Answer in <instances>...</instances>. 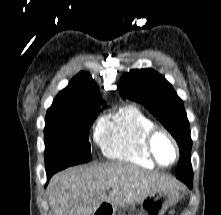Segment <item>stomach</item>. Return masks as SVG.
<instances>
[{"mask_svg": "<svg viewBox=\"0 0 221 215\" xmlns=\"http://www.w3.org/2000/svg\"><path fill=\"white\" fill-rule=\"evenodd\" d=\"M180 194L177 189L154 191L139 202L119 207L114 215H164L172 206L177 204Z\"/></svg>", "mask_w": 221, "mask_h": 215, "instance_id": "0dacf381", "label": "stomach"}]
</instances>
